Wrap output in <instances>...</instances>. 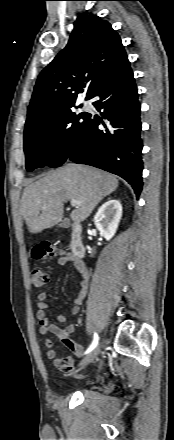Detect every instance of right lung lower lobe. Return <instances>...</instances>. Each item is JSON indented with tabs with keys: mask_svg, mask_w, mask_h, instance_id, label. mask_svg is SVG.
Wrapping results in <instances>:
<instances>
[{
	"mask_svg": "<svg viewBox=\"0 0 174 440\" xmlns=\"http://www.w3.org/2000/svg\"><path fill=\"white\" fill-rule=\"evenodd\" d=\"M93 98L102 118L87 115L67 159L121 176L138 197L143 185V144L138 92L128 60L100 83L89 99Z\"/></svg>",
	"mask_w": 174,
	"mask_h": 440,
	"instance_id": "98d812e1",
	"label": "right lung lower lobe"
}]
</instances>
